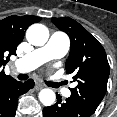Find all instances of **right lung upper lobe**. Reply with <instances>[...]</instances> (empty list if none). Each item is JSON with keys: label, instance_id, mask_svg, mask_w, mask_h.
Returning <instances> with one entry per match:
<instances>
[{"label": "right lung upper lobe", "instance_id": "right-lung-upper-lobe-1", "mask_svg": "<svg viewBox=\"0 0 117 117\" xmlns=\"http://www.w3.org/2000/svg\"><path fill=\"white\" fill-rule=\"evenodd\" d=\"M41 21L33 15H12L0 21V88L14 80L4 73V66L11 55H16L17 46L22 42L27 28Z\"/></svg>", "mask_w": 117, "mask_h": 117}]
</instances>
